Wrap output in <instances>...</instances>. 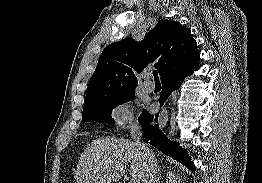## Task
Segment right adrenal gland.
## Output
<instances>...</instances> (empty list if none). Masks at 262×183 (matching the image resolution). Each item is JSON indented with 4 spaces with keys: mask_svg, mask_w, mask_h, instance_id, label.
I'll list each match as a JSON object with an SVG mask.
<instances>
[{
    "mask_svg": "<svg viewBox=\"0 0 262 183\" xmlns=\"http://www.w3.org/2000/svg\"><path fill=\"white\" fill-rule=\"evenodd\" d=\"M159 180H160V167L158 166V174H157L156 183H159Z\"/></svg>",
    "mask_w": 262,
    "mask_h": 183,
    "instance_id": "obj_1",
    "label": "right adrenal gland"
}]
</instances>
